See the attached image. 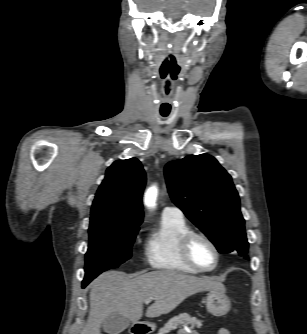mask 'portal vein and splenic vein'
<instances>
[{
  "label": "portal vein and splenic vein",
  "mask_w": 307,
  "mask_h": 334,
  "mask_svg": "<svg viewBox=\"0 0 307 334\" xmlns=\"http://www.w3.org/2000/svg\"><path fill=\"white\" fill-rule=\"evenodd\" d=\"M152 300H153V298H149V299H146L144 302H145V304H149Z\"/></svg>",
  "instance_id": "obj_1"
}]
</instances>
